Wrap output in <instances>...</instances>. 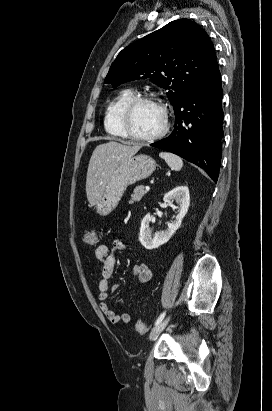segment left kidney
I'll list each match as a JSON object with an SVG mask.
<instances>
[{
  "mask_svg": "<svg viewBox=\"0 0 272 411\" xmlns=\"http://www.w3.org/2000/svg\"><path fill=\"white\" fill-rule=\"evenodd\" d=\"M163 200L167 204H171L172 201L175 200L178 204V214L176 215V219L168 224L167 230L154 234H152L150 228V213L143 218L140 227L139 241L146 249H155L165 244L181 226L182 219L186 215L190 205L189 189L186 186H178L167 192Z\"/></svg>",
  "mask_w": 272,
  "mask_h": 411,
  "instance_id": "left-kidney-1",
  "label": "left kidney"
}]
</instances>
